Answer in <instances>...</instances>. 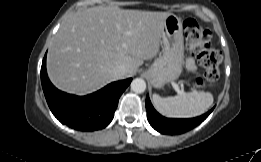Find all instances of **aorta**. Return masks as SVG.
Returning a JSON list of instances; mask_svg holds the SVG:
<instances>
[{"label": "aorta", "mask_w": 261, "mask_h": 162, "mask_svg": "<svg viewBox=\"0 0 261 162\" xmlns=\"http://www.w3.org/2000/svg\"><path fill=\"white\" fill-rule=\"evenodd\" d=\"M131 90L135 93H143L146 90V82L141 78H136L131 82Z\"/></svg>", "instance_id": "aorta-1"}]
</instances>
